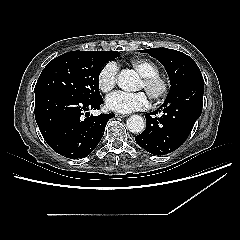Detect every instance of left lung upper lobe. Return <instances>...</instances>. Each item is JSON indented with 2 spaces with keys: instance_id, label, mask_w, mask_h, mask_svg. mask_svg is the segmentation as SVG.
<instances>
[{
  "instance_id": "5c2ea615",
  "label": "left lung upper lobe",
  "mask_w": 240,
  "mask_h": 240,
  "mask_svg": "<svg viewBox=\"0 0 240 240\" xmlns=\"http://www.w3.org/2000/svg\"><path fill=\"white\" fill-rule=\"evenodd\" d=\"M142 53H148L150 56L158 59L165 67L171 82V89L168 95L196 83H204L202 74L188 55L168 48H151L141 50Z\"/></svg>"
}]
</instances>
